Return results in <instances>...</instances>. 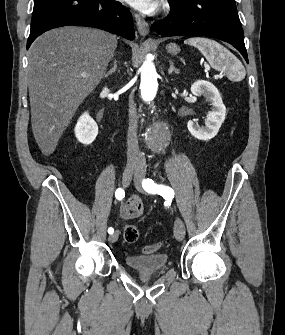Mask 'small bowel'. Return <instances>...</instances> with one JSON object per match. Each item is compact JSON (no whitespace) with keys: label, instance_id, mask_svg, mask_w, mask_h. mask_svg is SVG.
I'll return each instance as SVG.
<instances>
[{"label":"small bowel","instance_id":"1","mask_svg":"<svg viewBox=\"0 0 285 335\" xmlns=\"http://www.w3.org/2000/svg\"><path fill=\"white\" fill-rule=\"evenodd\" d=\"M145 207L140 197L133 195L127 202L121 203L117 208V216L122 220H134L143 216Z\"/></svg>","mask_w":285,"mask_h":335}]
</instances>
